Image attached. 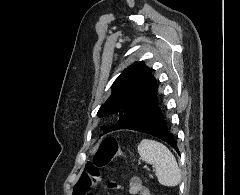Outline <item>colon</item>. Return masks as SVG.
Here are the masks:
<instances>
[{
    "mask_svg": "<svg viewBox=\"0 0 240 195\" xmlns=\"http://www.w3.org/2000/svg\"><path fill=\"white\" fill-rule=\"evenodd\" d=\"M119 152L120 144L117 139L113 137L104 139L95 152L94 161L97 166L86 167L85 177L88 178L87 182L90 186H75V192H73V195H89L91 188L95 187L100 180L98 169L109 164Z\"/></svg>",
    "mask_w": 240,
    "mask_h": 195,
    "instance_id": "obj_1",
    "label": "colon"
}]
</instances>
